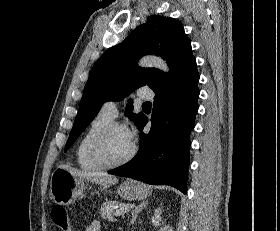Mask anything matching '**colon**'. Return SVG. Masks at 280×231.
<instances>
[{
    "label": "colon",
    "mask_w": 280,
    "mask_h": 231,
    "mask_svg": "<svg viewBox=\"0 0 280 231\" xmlns=\"http://www.w3.org/2000/svg\"><path fill=\"white\" fill-rule=\"evenodd\" d=\"M51 219L56 220L55 224L58 225L59 231H72V225H65L68 219L67 215H64L65 208H50Z\"/></svg>",
    "instance_id": "5ec220e1"
}]
</instances>
